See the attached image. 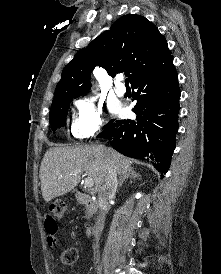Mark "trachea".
Returning a JSON list of instances; mask_svg holds the SVG:
<instances>
[{
  "label": "trachea",
  "instance_id": "obj_1",
  "mask_svg": "<svg viewBox=\"0 0 221 274\" xmlns=\"http://www.w3.org/2000/svg\"><path fill=\"white\" fill-rule=\"evenodd\" d=\"M128 84H129V80L125 79V85L128 86Z\"/></svg>",
  "mask_w": 221,
  "mask_h": 274
}]
</instances>
